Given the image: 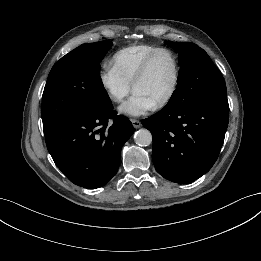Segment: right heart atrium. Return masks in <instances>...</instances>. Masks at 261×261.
I'll return each mask as SVG.
<instances>
[{
  "label": "right heart atrium",
  "mask_w": 261,
  "mask_h": 261,
  "mask_svg": "<svg viewBox=\"0 0 261 261\" xmlns=\"http://www.w3.org/2000/svg\"><path fill=\"white\" fill-rule=\"evenodd\" d=\"M98 80L108 98L115 103H121L131 91V83L109 66L101 68Z\"/></svg>",
  "instance_id": "right-heart-atrium-1"
}]
</instances>
